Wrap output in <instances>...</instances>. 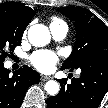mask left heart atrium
I'll return each mask as SVG.
<instances>
[{"instance_id":"1","label":"left heart atrium","mask_w":108,"mask_h":108,"mask_svg":"<svg viewBox=\"0 0 108 108\" xmlns=\"http://www.w3.org/2000/svg\"><path fill=\"white\" fill-rule=\"evenodd\" d=\"M57 60L55 53L44 50L36 51L30 57L32 65L41 72L52 71Z\"/></svg>"}]
</instances>
